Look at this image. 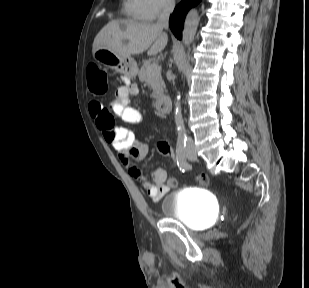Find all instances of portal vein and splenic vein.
Listing matches in <instances>:
<instances>
[{
    "label": "portal vein and splenic vein",
    "instance_id": "1",
    "mask_svg": "<svg viewBox=\"0 0 309 288\" xmlns=\"http://www.w3.org/2000/svg\"><path fill=\"white\" fill-rule=\"evenodd\" d=\"M158 70H161V67L158 66L157 64H154V65H152V66L149 68V73H154V72H156V71H158Z\"/></svg>",
    "mask_w": 309,
    "mask_h": 288
}]
</instances>
